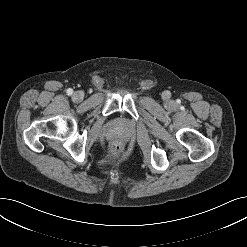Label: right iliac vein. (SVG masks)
Here are the masks:
<instances>
[{
  "label": "right iliac vein",
  "mask_w": 247,
  "mask_h": 247,
  "mask_svg": "<svg viewBox=\"0 0 247 247\" xmlns=\"http://www.w3.org/2000/svg\"><path fill=\"white\" fill-rule=\"evenodd\" d=\"M72 99H73L75 102H80V101H82V99H83V93L80 92V91L74 92V94H73V96H72Z\"/></svg>",
  "instance_id": "right-iliac-vein-1"
}]
</instances>
